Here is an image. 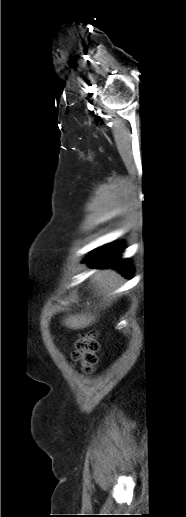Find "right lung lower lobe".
I'll return each instance as SVG.
<instances>
[{
	"label": "right lung lower lobe",
	"instance_id": "right-lung-lower-lobe-1",
	"mask_svg": "<svg viewBox=\"0 0 186 517\" xmlns=\"http://www.w3.org/2000/svg\"><path fill=\"white\" fill-rule=\"evenodd\" d=\"M124 247L120 243L109 244L93 252L87 258V265L94 267H113L119 270L125 277L130 278L132 267L126 260H120V254Z\"/></svg>",
	"mask_w": 186,
	"mask_h": 517
}]
</instances>
